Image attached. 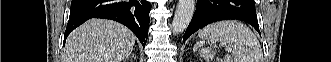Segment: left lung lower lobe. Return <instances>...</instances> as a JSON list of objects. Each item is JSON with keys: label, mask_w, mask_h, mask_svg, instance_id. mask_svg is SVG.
Segmentation results:
<instances>
[{"label": "left lung lower lobe", "mask_w": 331, "mask_h": 62, "mask_svg": "<svg viewBox=\"0 0 331 62\" xmlns=\"http://www.w3.org/2000/svg\"><path fill=\"white\" fill-rule=\"evenodd\" d=\"M241 20L259 31L254 0H197V8L183 42L204 26L221 20Z\"/></svg>", "instance_id": "1"}]
</instances>
